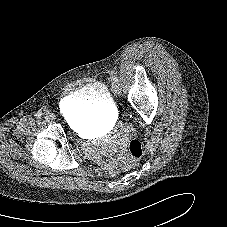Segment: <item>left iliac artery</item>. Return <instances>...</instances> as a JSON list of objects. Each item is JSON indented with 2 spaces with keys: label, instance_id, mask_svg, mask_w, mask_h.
Returning <instances> with one entry per match:
<instances>
[{
  "label": "left iliac artery",
  "instance_id": "obj_1",
  "mask_svg": "<svg viewBox=\"0 0 227 227\" xmlns=\"http://www.w3.org/2000/svg\"><path fill=\"white\" fill-rule=\"evenodd\" d=\"M112 79L114 81V83H118L119 82V79L117 76H112Z\"/></svg>",
  "mask_w": 227,
  "mask_h": 227
}]
</instances>
